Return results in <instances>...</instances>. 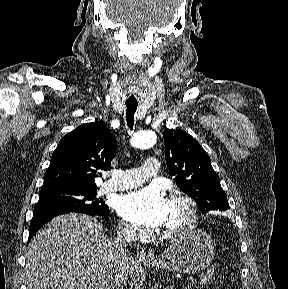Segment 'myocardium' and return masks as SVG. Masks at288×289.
Returning a JSON list of instances; mask_svg holds the SVG:
<instances>
[{
	"label": "myocardium",
	"instance_id": "f54148a6",
	"mask_svg": "<svg viewBox=\"0 0 288 289\" xmlns=\"http://www.w3.org/2000/svg\"><path fill=\"white\" fill-rule=\"evenodd\" d=\"M168 200L183 203L187 216L184 225L176 229H166L164 230V234L171 238H180L194 231L198 221V206L196 201L190 195L178 191L169 194Z\"/></svg>",
	"mask_w": 288,
	"mask_h": 289
}]
</instances>
